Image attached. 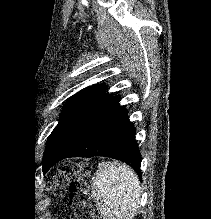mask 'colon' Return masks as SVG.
I'll use <instances>...</instances> for the list:
<instances>
[{
  "mask_svg": "<svg viewBox=\"0 0 211 219\" xmlns=\"http://www.w3.org/2000/svg\"><path fill=\"white\" fill-rule=\"evenodd\" d=\"M91 171L92 166L88 162H68L59 168L56 176L57 194L61 192L65 181L72 178L69 186V198L76 219H100L87 200Z\"/></svg>",
  "mask_w": 211,
  "mask_h": 219,
  "instance_id": "colon-1",
  "label": "colon"
}]
</instances>
